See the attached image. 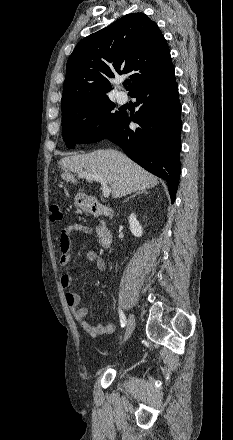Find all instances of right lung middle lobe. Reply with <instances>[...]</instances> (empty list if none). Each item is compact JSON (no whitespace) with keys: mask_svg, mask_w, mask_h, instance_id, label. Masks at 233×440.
I'll return each instance as SVG.
<instances>
[{"mask_svg":"<svg viewBox=\"0 0 233 440\" xmlns=\"http://www.w3.org/2000/svg\"><path fill=\"white\" fill-rule=\"evenodd\" d=\"M115 104L108 97L76 103L62 108L63 139L68 148L76 143H93L105 139L120 123L124 112L111 111ZM101 128L96 130L95 124Z\"/></svg>","mask_w":233,"mask_h":440,"instance_id":"obj_1","label":"right lung middle lobe"}]
</instances>
